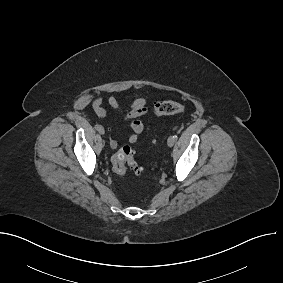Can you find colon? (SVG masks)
I'll return each instance as SVG.
<instances>
[{
  "mask_svg": "<svg viewBox=\"0 0 283 283\" xmlns=\"http://www.w3.org/2000/svg\"><path fill=\"white\" fill-rule=\"evenodd\" d=\"M185 110L184 105L175 101H162L154 106L156 116L178 115ZM112 170L118 178H123L127 168L132 169L136 174L144 171V168L137 164L134 158V151L130 146L121 147L111 158Z\"/></svg>",
  "mask_w": 283,
  "mask_h": 283,
  "instance_id": "colon-1",
  "label": "colon"
}]
</instances>
